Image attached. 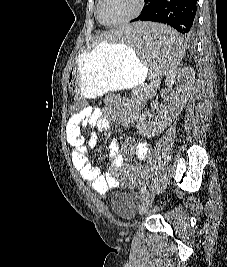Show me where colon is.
Instances as JSON below:
<instances>
[{
	"instance_id": "obj_1",
	"label": "colon",
	"mask_w": 227,
	"mask_h": 267,
	"mask_svg": "<svg viewBox=\"0 0 227 267\" xmlns=\"http://www.w3.org/2000/svg\"><path fill=\"white\" fill-rule=\"evenodd\" d=\"M82 109V101L80 99H74V101L70 105V110H68V115H80ZM129 191H132V188H129Z\"/></svg>"
}]
</instances>
